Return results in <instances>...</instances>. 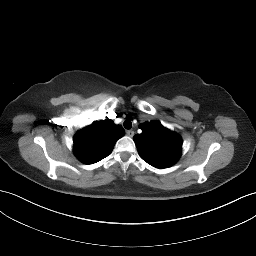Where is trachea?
<instances>
[{
  "instance_id": "obj_1",
  "label": "trachea",
  "mask_w": 256,
  "mask_h": 256,
  "mask_svg": "<svg viewBox=\"0 0 256 256\" xmlns=\"http://www.w3.org/2000/svg\"><path fill=\"white\" fill-rule=\"evenodd\" d=\"M123 125L126 129H130L132 127V123L130 120H125Z\"/></svg>"
}]
</instances>
